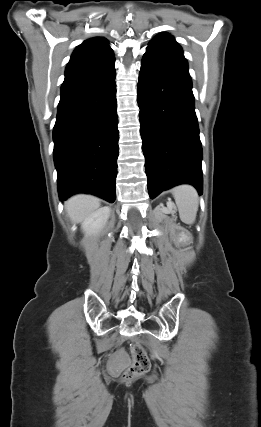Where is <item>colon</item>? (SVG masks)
I'll return each mask as SVG.
<instances>
[{"mask_svg":"<svg viewBox=\"0 0 261 427\" xmlns=\"http://www.w3.org/2000/svg\"><path fill=\"white\" fill-rule=\"evenodd\" d=\"M132 365L124 372L126 379H132L147 373L150 369V359L139 343L131 346Z\"/></svg>","mask_w":261,"mask_h":427,"instance_id":"1","label":"colon"}]
</instances>
